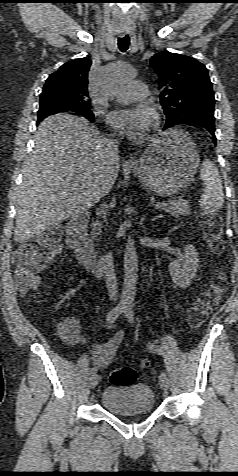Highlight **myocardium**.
Instances as JSON below:
<instances>
[{"mask_svg": "<svg viewBox=\"0 0 238 476\" xmlns=\"http://www.w3.org/2000/svg\"><path fill=\"white\" fill-rule=\"evenodd\" d=\"M159 122V114L153 111V124L157 125Z\"/></svg>", "mask_w": 238, "mask_h": 476, "instance_id": "1", "label": "myocardium"}]
</instances>
